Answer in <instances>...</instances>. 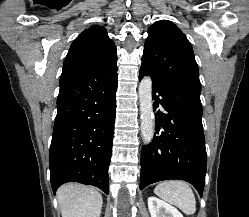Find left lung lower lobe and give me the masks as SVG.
<instances>
[{
  "label": "left lung lower lobe",
  "instance_id": "obj_1",
  "mask_svg": "<svg viewBox=\"0 0 249 217\" xmlns=\"http://www.w3.org/2000/svg\"><path fill=\"white\" fill-rule=\"evenodd\" d=\"M145 75L140 70L139 79ZM152 81L155 135L141 153L140 189L158 181L179 179L191 183L202 196L207 155L200 93ZM159 106L163 112L156 110Z\"/></svg>",
  "mask_w": 249,
  "mask_h": 217
}]
</instances>
